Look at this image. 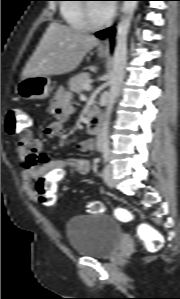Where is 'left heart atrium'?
<instances>
[{
  "label": "left heart atrium",
  "mask_w": 180,
  "mask_h": 299,
  "mask_svg": "<svg viewBox=\"0 0 180 299\" xmlns=\"http://www.w3.org/2000/svg\"><path fill=\"white\" fill-rule=\"evenodd\" d=\"M112 2L113 1H107V3L103 4V7L108 15H112L115 10V4Z\"/></svg>",
  "instance_id": "1"
}]
</instances>
